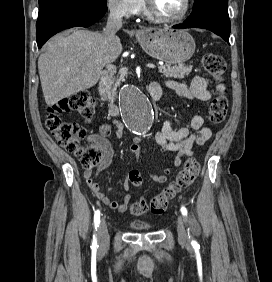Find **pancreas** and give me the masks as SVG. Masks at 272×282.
Listing matches in <instances>:
<instances>
[{"label": "pancreas", "instance_id": "obj_1", "mask_svg": "<svg viewBox=\"0 0 272 282\" xmlns=\"http://www.w3.org/2000/svg\"><path fill=\"white\" fill-rule=\"evenodd\" d=\"M192 65H183L178 64L175 66H171L170 64H166L163 66H159L158 71L164 77H174V78H183L185 75H188L192 71ZM127 76V72L125 70L120 71L118 77H114L111 81V89L109 91V95L112 99L116 96V89L120 85L121 81H124V77Z\"/></svg>", "mask_w": 272, "mask_h": 282}]
</instances>
